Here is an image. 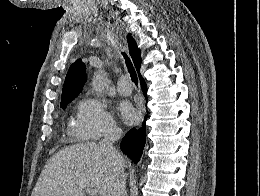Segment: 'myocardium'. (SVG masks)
Here are the masks:
<instances>
[{
	"mask_svg": "<svg viewBox=\"0 0 260 196\" xmlns=\"http://www.w3.org/2000/svg\"><path fill=\"white\" fill-rule=\"evenodd\" d=\"M51 192H55V190H51Z\"/></svg>",
	"mask_w": 260,
	"mask_h": 196,
	"instance_id": "myocardium-1",
	"label": "myocardium"
}]
</instances>
